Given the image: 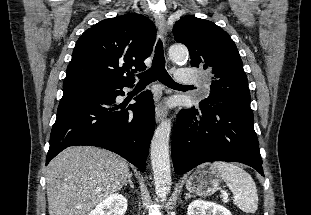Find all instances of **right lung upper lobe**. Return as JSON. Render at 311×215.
<instances>
[{
  "mask_svg": "<svg viewBox=\"0 0 311 215\" xmlns=\"http://www.w3.org/2000/svg\"><path fill=\"white\" fill-rule=\"evenodd\" d=\"M156 27L143 15L128 13L100 21L77 40L63 86L107 82L133 85L130 71L146 69Z\"/></svg>",
  "mask_w": 311,
  "mask_h": 215,
  "instance_id": "obj_1",
  "label": "right lung upper lobe"
}]
</instances>
